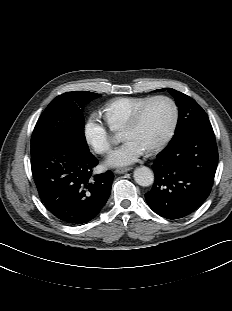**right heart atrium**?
<instances>
[{
    "label": "right heart atrium",
    "instance_id": "d8ad5b80",
    "mask_svg": "<svg viewBox=\"0 0 232 311\" xmlns=\"http://www.w3.org/2000/svg\"><path fill=\"white\" fill-rule=\"evenodd\" d=\"M83 134L85 141L99 154L111 151L112 139L109 128L96 114L90 115L84 124Z\"/></svg>",
    "mask_w": 232,
    "mask_h": 311
}]
</instances>
